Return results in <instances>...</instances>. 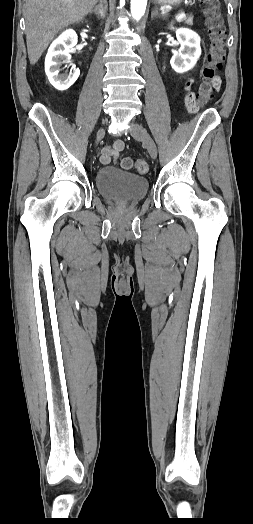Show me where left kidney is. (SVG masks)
<instances>
[{
	"instance_id": "1",
	"label": "left kidney",
	"mask_w": 253,
	"mask_h": 524,
	"mask_svg": "<svg viewBox=\"0 0 253 524\" xmlns=\"http://www.w3.org/2000/svg\"><path fill=\"white\" fill-rule=\"evenodd\" d=\"M176 37L181 47L170 60L171 67L177 73L192 69L201 55L200 37L187 28L176 29Z\"/></svg>"
}]
</instances>
